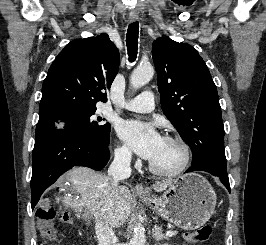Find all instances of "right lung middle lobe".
Instances as JSON below:
<instances>
[{
  "label": "right lung middle lobe",
  "instance_id": "dd1d6c3e",
  "mask_svg": "<svg viewBox=\"0 0 266 245\" xmlns=\"http://www.w3.org/2000/svg\"><path fill=\"white\" fill-rule=\"evenodd\" d=\"M96 108L72 110L50 119L39 121L35 139L63 129L79 134L99 145H108L110 124L99 123L102 118L95 117Z\"/></svg>",
  "mask_w": 266,
  "mask_h": 245
}]
</instances>
